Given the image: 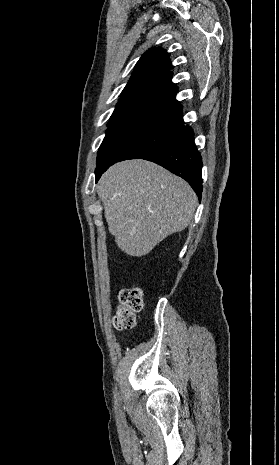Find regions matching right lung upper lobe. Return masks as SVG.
Instances as JSON below:
<instances>
[{"mask_svg": "<svg viewBox=\"0 0 279 465\" xmlns=\"http://www.w3.org/2000/svg\"><path fill=\"white\" fill-rule=\"evenodd\" d=\"M169 57L161 48L142 55L108 126L126 123L183 125L182 106L175 99L177 87L171 82Z\"/></svg>", "mask_w": 279, "mask_h": 465, "instance_id": "cb5924a9", "label": "right lung upper lobe"}]
</instances>
